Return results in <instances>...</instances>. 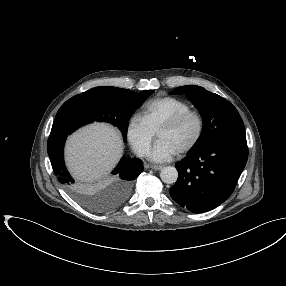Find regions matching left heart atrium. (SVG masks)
Listing matches in <instances>:
<instances>
[{
	"label": "left heart atrium",
	"instance_id": "1",
	"mask_svg": "<svg viewBox=\"0 0 286 286\" xmlns=\"http://www.w3.org/2000/svg\"><path fill=\"white\" fill-rule=\"evenodd\" d=\"M179 151L166 140H159L153 147L150 158L155 162H166L177 155Z\"/></svg>",
	"mask_w": 286,
	"mask_h": 286
}]
</instances>
